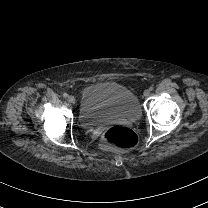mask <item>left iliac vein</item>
I'll list each match as a JSON object with an SVG mask.
<instances>
[{"label": "left iliac vein", "instance_id": "obj_1", "mask_svg": "<svg viewBox=\"0 0 208 208\" xmlns=\"http://www.w3.org/2000/svg\"><path fill=\"white\" fill-rule=\"evenodd\" d=\"M143 95L145 97H148L150 95V91L149 90H145L144 93H143Z\"/></svg>", "mask_w": 208, "mask_h": 208}]
</instances>
